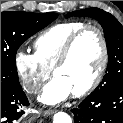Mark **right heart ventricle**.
Masks as SVG:
<instances>
[{
  "label": "right heart ventricle",
  "mask_w": 123,
  "mask_h": 123,
  "mask_svg": "<svg viewBox=\"0 0 123 123\" xmlns=\"http://www.w3.org/2000/svg\"><path fill=\"white\" fill-rule=\"evenodd\" d=\"M85 25L83 22L69 21L49 27L34 41V54L46 68L51 70L68 38Z\"/></svg>",
  "instance_id": "1"
}]
</instances>
